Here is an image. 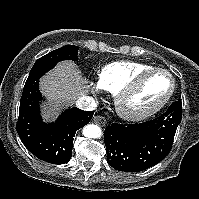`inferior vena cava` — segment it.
Segmentation results:
<instances>
[{"instance_id": "1", "label": "inferior vena cava", "mask_w": 199, "mask_h": 199, "mask_svg": "<svg viewBox=\"0 0 199 199\" xmlns=\"http://www.w3.org/2000/svg\"><path fill=\"white\" fill-rule=\"evenodd\" d=\"M76 107L84 111H93L97 107V103L93 97L82 96L77 99Z\"/></svg>"}]
</instances>
